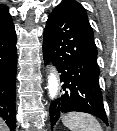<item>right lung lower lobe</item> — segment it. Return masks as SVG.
Here are the masks:
<instances>
[{
  "label": "right lung lower lobe",
  "instance_id": "right-lung-lower-lobe-1",
  "mask_svg": "<svg viewBox=\"0 0 117 131\" xmlns=\"http://www.w3.org/2000/svg\"><path fill=\"white\" fill-rule=\"evenodd\" d=\"M17 69L14 25L0 34V117L15 130V85Z\"/></svg>",
  "mask_w": 117,
  "mask_h": 131
}]
</instances>
